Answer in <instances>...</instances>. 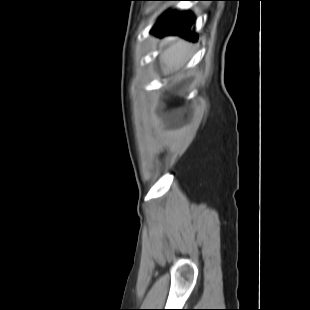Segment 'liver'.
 <instances>
[{
	"instance_id": "liver-1",
	"label": "liver",
	"mask_w": 310,
	"mask_h": 310,
	"mask_svg": "<svg viewBox=\"0 0 310 310\" xmlns=\"http://www.w3.org/2000/svg\"><path fill=\"white\" fill-rule=\"evenodd\" d=\"M165 44L168 45V47L162 51V63L169 72L173 73L180 70L186 63L189 44L177 37H168L165 39Z\"/></svg>"
}]
</instances>
